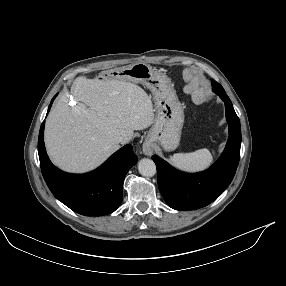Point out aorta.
Instances as JSON below:
<instances>
[{"label": "aorta", "mask_w": 286, "mask_h": 286, "mask_svg": "<svg viewBox=\"0 0 286 286\" xmlns=\"http://www.w3.org/2000/svg\"><path fill=\"white\" fill-rule=\"evenodd\" d=\"M138 170L142 176L152 177L156 174V165L151 159L144 158L139 161Z\"/></svg>", "instance_id": "aorta-1"}]
</instances>
